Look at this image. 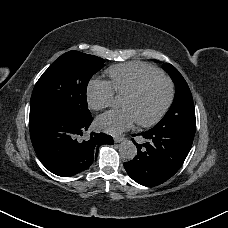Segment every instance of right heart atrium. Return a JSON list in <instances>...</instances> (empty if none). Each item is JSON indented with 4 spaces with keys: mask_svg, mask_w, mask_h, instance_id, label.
<instances>
[{
    "mask_svg": "<svg viewBox=\"0 0 228 228\" xmlns=\"http://www.w3.org/2000/svg\"><path fill=\"white\" fill-rule=\"evenodd\" d=\"M88 104L93 110L109 107L115 100L112 85L107 81H93L88 86Z\"/></svg>",
    "mask_w": 228,
    "mask_h": 228,
    "instance_id": "obj_1",
    "label": "right heart atrium"
}]
</instances>
